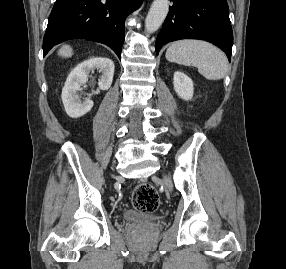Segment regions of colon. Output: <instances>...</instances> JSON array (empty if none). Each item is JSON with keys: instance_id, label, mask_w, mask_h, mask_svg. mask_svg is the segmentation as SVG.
<instances>
[{"instance_id": "colon-1", "label": "colon", "mask_w": 286, "mask_h": 269, "mask_svg": "<svg viewBox=\"0 0 286 269\" xmlns=\"http://www.w3.org/2000/svg\"><path fill=\"white\" fill-rule=\"evenodd\" d=\"M132 202L137 210L146 213H152L160 206V198L149 183H141L136 186L132 195Z\"/></svg>"}]
</instances>
